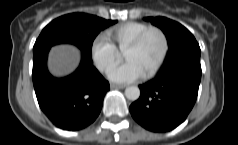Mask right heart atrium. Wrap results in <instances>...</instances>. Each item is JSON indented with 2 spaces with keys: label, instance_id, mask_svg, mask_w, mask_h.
Segmentation results:
<instances>
[{
  "label": "right heart atrium",
  "instance_id": "right-heart-atrium-1",
  "mask_svg": "<svg viewBox=\"0 0 238 145\" xmlns=\"http://www.w3.org/2000/svg\"><path fill=\"white\" fill-rule=\"evenodd\" d=\"M90 54L96 68L103 73L110 71L120 57L116 46L105 35L95 36L91 42Z\"/></svg>",
  "mask_w": 238,
  "mask_h": 145
}]
</instances>
